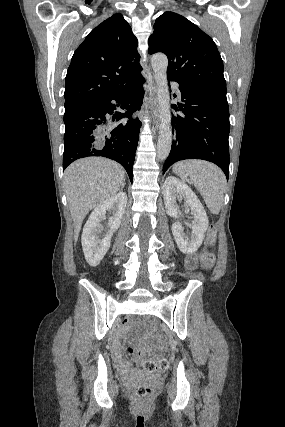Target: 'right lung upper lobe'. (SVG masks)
I'll return each instance as SVG.
<instances>
[{
	"label": "right lung upper lobe",
	"mask_w": 285,
	"mask_h": 427,
	"mask_svg": "<svg viewBox=\"0 0 285 427\" xmlns=\"http://www.w3.org/2000/svg\"><path fill=\"white\" fill-rule=\"evenodd\" d=\"M138 41L120 13L93 29L74 52L65 83V108L117 92L141 76Z\"/></svg>",
	"instance_id": "cb5924a9"
}]
</instances>
